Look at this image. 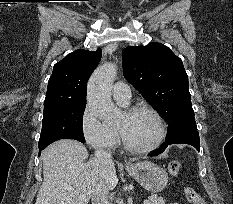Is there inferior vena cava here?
<instances>
[{"label": "inferior vena cava", "mask_w": 233, "mask_h": 204, "mask_svg": "<svg viewBox=\"0 0 233 204\" xmlns=\"http://www.w3.org/2000/svg\"><path fill=\"white\" fill-rule=\"evenodd\" d=\"M95 157L98 161L103 163H110L112 162V156L107 151L102 149H97L94 153ZM92 204H110L109 203V195L105 193V191L96 194L92 197Z\"/></svg>", "instance_id": "inferior-vena-cava-1"}]
</instances>
